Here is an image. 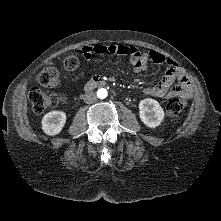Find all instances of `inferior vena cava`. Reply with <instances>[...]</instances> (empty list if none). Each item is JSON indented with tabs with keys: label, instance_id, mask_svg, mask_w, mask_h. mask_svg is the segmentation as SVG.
Returning a JSON list of instances; mask_svg holds the SVG:
<instances>
[{
	"label": "inferior vena cava",
	"instance_id": "obj_1",
	"mask_svg": "<svg viewBox=\"0 0 221 221\" xmlns=\"http://www.w3.org/2000/svg\"><path fill=\"white\" fill-rule=\"evenodd\" d=\"M84 102L85 103H93L97 100V95L94 92H87L84 94Z\"/></svg>",
	"mask_w": 221,
	"mask_h": 221
}]
</instances>
